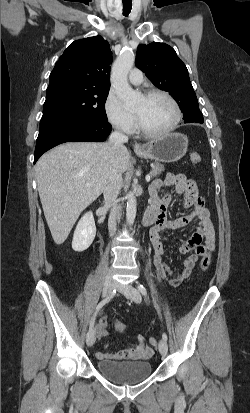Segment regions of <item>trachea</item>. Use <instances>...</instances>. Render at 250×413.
Returning <instances> with one entry per match:
<instances>
[{"label":"trachea","instance_id":"1","mask_svg":"<svg viewBox=\"0 0 250 413\" xmlns=\"http://www.w3.org/2000/svg\"><path fill=\"white\" fill-rule=\"evenodd\" d=\"M132 9V3H123V15L128 16V14L131 12Z\"/></svg>","mask_w":250,"mask_h":413}]
</instances>
